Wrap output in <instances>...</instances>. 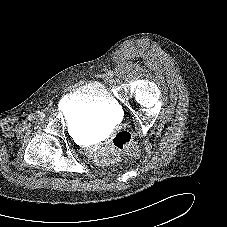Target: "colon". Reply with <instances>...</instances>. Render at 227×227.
Returning a JSON list of instances; mask_svg holds the SVG:
<instances>
[{
    "label": "colon",
    "mask_w": 227,
    "mask_h": 227,
    "mask_svg": "<svg viewBox=\"0 0 227 227\" xmlns=\"http://www.w3.org/2000/svg\"><path fill=\"white\" fill-rule=\"evenodd\" d=\"M112 142L115 152H126L130 157H135L138 153V148L133 143L131 135L128 132H119L113 138Z\"/></svg>",
    "instance_id": "obj_1"
}]
</instances>
